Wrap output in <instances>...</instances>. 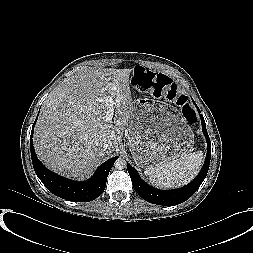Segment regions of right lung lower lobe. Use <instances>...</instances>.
Instances as JSON below:
<instances>
[{
    "label": "right lung lower lobe",
    "mask_w": 253,
    "mask_h": 253,
    "mask_svg": "<svg viewBox=\"0 0 253 253\" xmlns=\"http://www.w3.org/2000/svg\"><path fill=\"white\" fill-rule=\"evenodd\" d=\"M38 117V116H37ZM37 120V118H36ZM35 120V122H36ZM35 122L32 127L30 136V149L31 158L35 173L42 181V183L49 189L50 192L58 197L66 200L75 202H88L96 199L100 196L106 186V181L110 169L114 161L118 158L113 157L103 164H101L95 174L88 180L77 182L60 175H57L50 170H48L37 158L34 147H33V129Z\"/></svg>",
    "instance_id": "98d812e1"
}]
</instances>
